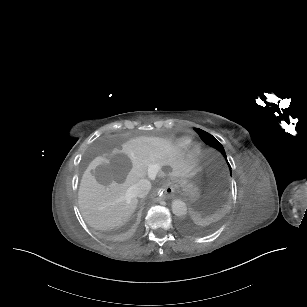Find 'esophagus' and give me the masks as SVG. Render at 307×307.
I'll list each match as a JSON object with an SVG mask.
<instances>
[{"label": "esophagus", "mask_w": 307, "mask_h": 307, "mask_svg": "<svg viewBox=\"0 0 307 307\" xmlns=\"http://www.w3.org/2000/svg\"><path fill=\"white\" fill-rule=\"evenodd\" d=\"M162 191H163V197L168 198V199L172 198L174 196V192H175L171 183H166L163 186Z\"/></svg>", "instance_id": "1"}]
</instances>
